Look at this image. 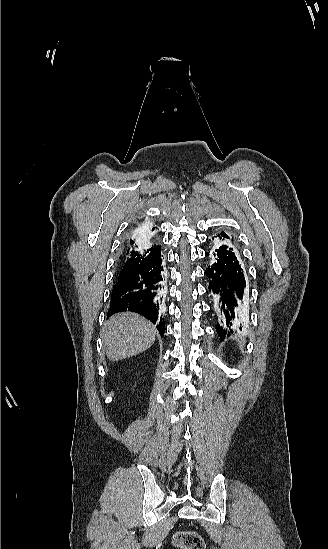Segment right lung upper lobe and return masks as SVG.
I'll return each instance as SVG.
<instances>
[{
  "mask_svg": "<svg viewBox=\"0 0 328 549\" xmlns=\"http://www.w3.org/2000/svg\"><path fill=\"white\" fill-rule=\"evenodd\" d=\"M127 244L123 247L119 259V278L128 276L143 263L155 258L161 252L157 237V227L147 221H141L129 232Z\"/></svg>",
  "mask_w": 328,
  "mask_h": 549,
  "instance_id": "right-lung-upper-lobe-1",
  "label": "right lung upper lobe"
}]
</instances>
